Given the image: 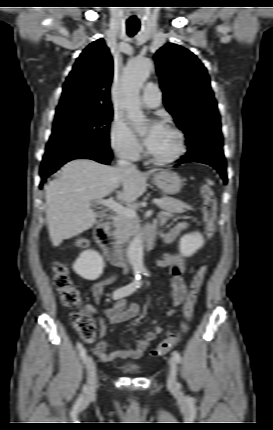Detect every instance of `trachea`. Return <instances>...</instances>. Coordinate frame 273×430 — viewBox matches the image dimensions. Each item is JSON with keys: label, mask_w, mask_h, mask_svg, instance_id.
Masks as SVG:
<instances>
[{"label": "trachea", "mask_w": 273, "mask_h": 430, "mask_svg": "<svg viewBox=\"0 0 273 430\" xmlns=\"http://www.w3.org/2000/svg\"><path fill=\"white\" fill-rule=\"evenodd\" d=\"M127 34L130 37H133L139 30L140 24L139 23H127Z\"/></svg>", "instance_id": "1"}]
</instances>
